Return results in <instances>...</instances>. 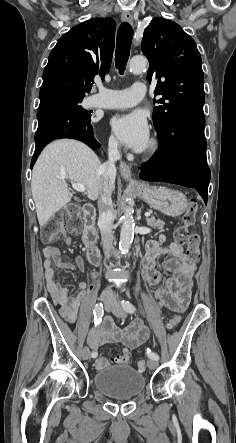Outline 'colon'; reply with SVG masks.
Instances as JSON below:
<instances>
[{
  "label": "colon",
  "instance_id": "5ec220e1",
  "mask_svg": "<svg viewBox=\"0 0 236 443\" xmlns=\"http://www.w3.org/2000/svg\"><path fill=\"white\" fill-rule=\"evenodd\" d=\"M197 213V202L192 199L190 201L187 212L182 217L181 225L174 232V239L178 245H186L187 257L192 262H197L200 259V238L197 234H191L189 228L194 224ZM71 232H78L82 227V213L78 206L69 205L66 208L65 214L53 218L48 222L41 231V239L44 243H52L59 240L64 235V228ZM180 317L174 315L168 327L173 329L178 326ZM130 361V353L127 350L115 357L101 355L94 361V366L97 369H102L112 365L113 363L126 364ZM138 370L144 372L146 370V361L140 360L137 364Z\"/></svg>",
  "mask_w": 236,
  "mask_h": 443
}]
</instances>
